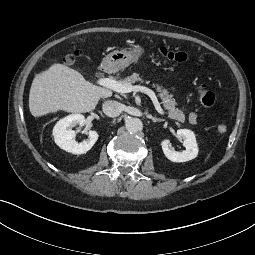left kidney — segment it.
Listing matches in <instances>:
<instances>
[{
	"mask_svg": "<svg viewBox=\"0 0 255 255\" xmlns=\"http://www.w3.org/2000/svg\"><path fill=\"white\" fill-rule=\"evenodd\" d=\"M177 135L183 140L185 150L178 152L171 149L170 140L165 139L161 142L164 155L172 162H186L196 158L199 150L193 131L189 129H179L177 130Z\"/></svg>",
	"mask_w": 255,
	"mask_h": 255,
	"instance_id": "1",
	"label": "left kidney"
}]
</instances>
